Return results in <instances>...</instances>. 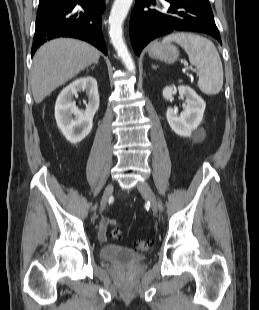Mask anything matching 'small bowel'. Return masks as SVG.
Instances as JSON below:
<instances>
[{
	"label": "small bowel",
	"instance_id": "small-bowel-1",
	"mask_svg": "<svg viewBox=\"0 0 259 310\" xmlns=\"http://www.w3.org/2000/svg\"><path fill=\"white\" fill-rule=\"evenodd\" d=\"M98 238L101 241L107 240V225L104 221H102L98 226Z\"/></svg>",
	"mask_w": 259,
	"mask_h": 310
}]
</instances>
